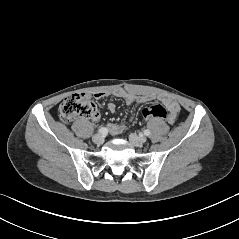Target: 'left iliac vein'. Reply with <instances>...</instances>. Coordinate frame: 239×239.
Masks as SVG:
<instances>
[{
  "label": "left iliac vein",
  "instance_id": "left-iliac-vein-1",
  "mask_svg": "<svg viewBox=\"0 0 239 239\" xmlns=\"http://www.w3.org/2000/svg\"><path fill=\"white\" fill-rule=\"evenodd\" d=\"M129 141L131 142L132 145L140 147L143 143L146 142V138L139 137L136 134L132 133L129 135Z\"/></svg>",
  "mask_w": 239,
  "mask_h": 239
}]
</instances>
